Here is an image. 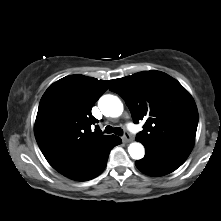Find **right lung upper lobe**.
I'll use <instances>...</instances> for the list:
<instances>
[{"mask_svg":"<svg viewBox=\"0 0 221 221\" xmlns=\"http://www.w3.org/2000/svg\"><path fill=\"white\" fill-rule=\"evenodd\" d=\"M113 80L71 75L53 83L41 98L35 121V137L54 168L84 159L114 135L91 131L98 122L91 114L93 104Z\"/></svg>","mask_w":221,"mask_h":221,"instance_id":"right-lung-upper-lobe-1","label":"right lung upper lobe"}]
</instances>
